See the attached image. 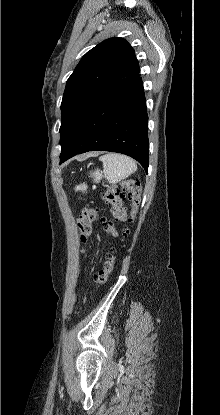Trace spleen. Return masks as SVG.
Here are the masks:
<instances>
[{"mask_svg":"<svg viewBox=\"0 0 220 415\" xmlns=\"http://www.w3.org/2000/svg\"><path fill=\"white\" fill-rule=\"evenodd\" d=\"M99 160L103 163V174L100 173L99 169L90 173L96 183L104 177L110 184H115L137 170L135 161L125 155L109 153L100 156ZM75 189L84 192L87 190V184L77 185Z\"/></svg>","mask_w":220,"mask_h":415,"instance_id":"3e777b00","label":"spleen"}]
</instances>
